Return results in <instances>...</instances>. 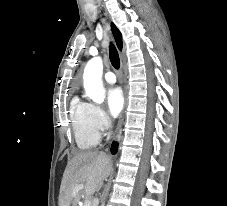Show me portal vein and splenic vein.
<instances>
[{"label":"portal vein and splenic vein","mask_w":227,"mask_h":206,"mask_svg":"<svg viewBox=\"0 0 227 206\" xmlns=\"http://www.w3.org/2000/svg\"><path fill=\"white\" fill-rule=\"evenodd\" d=\"M77 189H83V186H78ZM84 206H90V201H86Z\"/></svg>","instance_id":"1"}]
</instances>
